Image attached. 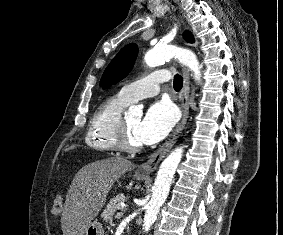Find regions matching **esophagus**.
I'll return each instance as SVG.
<instances>
[{"label": "esophagus", "instance_id": "34e87169", "mask_svg": "<svg viewBox=\"0 0 283 235\" xmlns=\"http://www.w3.org/2000/svg\"><path fill=\"white\" fill-rule=\"evenodd\" d=\"M183 88L180 93V107L182 111V118L176 128L172 131L168 139L155 151L153 152L147 161L142 163L137 171L143 175H150L156 170L161 160L174 146L182 130L185 127L189 116V93H190V76L189 71L183 67Z\"/></svg>", "mask_w": 283, "mask_h": 235}]
</instances>
